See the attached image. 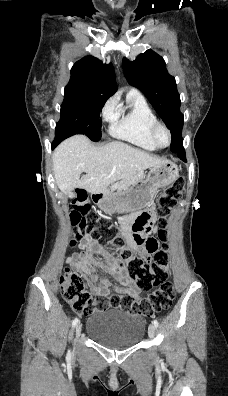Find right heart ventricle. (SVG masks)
Instances as JSON below:
<instances>
[{
  "instance_id": "1",
  "label": "right heart ventricle",
  "mask_w": 228,
  "mask_h": 396,
  "mask_svg": "<svg viewBox=\"0 0 228 396\" xmlns=\"http://www.w3.org/2000/svg\"><path fill=\"white\" fill-rule=\"evenodd\" d=\"M157 116L147 101L137 92H129L125 108L116 109L110 125V133L142 149H156L149 137V128Z\"/></svg>"
}]
</instances>
